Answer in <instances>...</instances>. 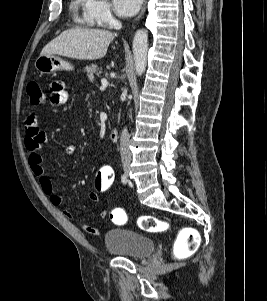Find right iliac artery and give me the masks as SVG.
Returning <instances> with one entry per match:
<instances>
[{
    "instance_id": "obj_1",
    "label": "right iliac artery",
    "mask_w": 267,
    "mask_h": 301,
    "mask_svg": "<svg viewBox=\"0 0 267 301\" xmlns=\"http://www.w3.org/2000/svg\"><path fill=\"white\" fill-rule=\"evenodd\" d=\"M121 181H122L123 184H126V183H127V177H126L125 174L122 175Z\"/></svg>"
}]
</instances>
